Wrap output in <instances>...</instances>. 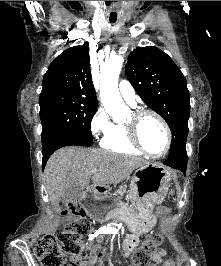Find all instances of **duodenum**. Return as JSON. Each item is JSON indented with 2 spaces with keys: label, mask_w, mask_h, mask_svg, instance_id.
I'll return each instance as SVG.
<instances>
[{
  "label": "duodenum",
  "mask_w": 221,
  "mask_h": 266,
  "mask_svg": "<svg viewBox=\"0 0 221 266\" xmlns=\"http://www.w3.org/2000/svg\"><path fill=\"white\" fill-rule=\"evenodd\" d=\"M117 194L108 191L105 186L90 187L80 194L79 203L86 206L85 213L96 219V223H110L112 210H116Z\"/></svg>",
  "instance_id": "410a0bca"
}]
</instances>
